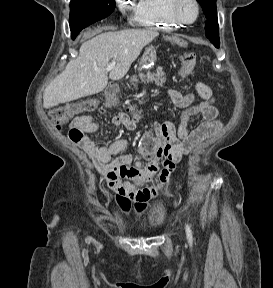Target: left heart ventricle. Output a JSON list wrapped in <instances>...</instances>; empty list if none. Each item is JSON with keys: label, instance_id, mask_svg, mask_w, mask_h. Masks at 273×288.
<instances>
[{"label": "left heart ventricle", "instance_id": "obj_1", "mask_svg": "<svg viewBox=\"0 0 273 288\" xmlns=\"http://www.w3.org/2000/svg\"><path fill=\"white\" fill-rule=\"evenodd\" d=\"M180 13L187 20H191L194 18L196 10L190 0H184L182 2L180 6Z\"/></svg>", "mask_w": 273, "mask_h": 288}]
</instances>
